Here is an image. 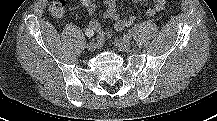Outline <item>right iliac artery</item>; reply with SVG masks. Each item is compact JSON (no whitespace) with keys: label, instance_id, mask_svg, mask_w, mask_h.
Returning a JSON list of instances; mask_svg holds the SVG:
<instances>
[{"label":"right iliac artery","instance_id":"1","mask_svg":"<svg viewBox=\"0 0 217 121\" xmlns=\"http://www.w3.org/2000/svg\"><path fill=\"white\" fill-rule=\"evenodd\" d=\"M96 41H97L98 43H100V42H101V41H100V39H99L98 37L96 38Z\"/></svg>","mask_w":217,"mask_h":121}]
</instances>
